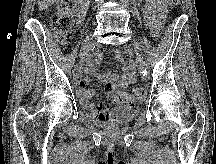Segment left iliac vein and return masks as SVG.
Here are the masks:
<instances>
[{"instance_id":"left-iliac-vein-1","label":"left iliac vein","mask_w":216,"mask_h":164,"mask_svg":"<svg viewBox=\"0 0 216 164\" xmlns=\"http://www.w3.org/2000/svg\"><path fill=\"white\" fill-rule=\"evenodd\" d=\"M133 45H134V48H135V50L137 51L138 57H139V59H140V65H139V66H140L141 69H144V68H145V62L142 60L143 54H142L141 45H140V43L137 42L136 40H134Z\"/></svg>"}]
</instances>
